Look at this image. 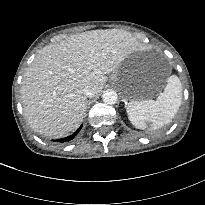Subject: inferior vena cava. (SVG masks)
Returning <instances> with one entry per match:
<instances>
[{
    "instance_id": "inferior-vena-cava-1",
    "label": "inferior vena cava",
    "mask_w": 205,
    "mask_h": 205,
    "mask_svg": "<svg viewBox=\"0 0 205 205\" xmlns=\"http://www.w3.org/2000/svg\"><path fill=\"white\" fill-rule=\"evenodd\" d=\"M83 92L84 94L87 96V97H93L94 96V90L91 86H86L84 89H83Z\"/></svg>"
}]
</instances>
